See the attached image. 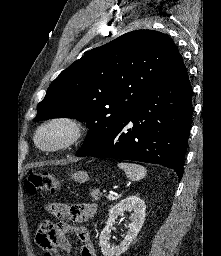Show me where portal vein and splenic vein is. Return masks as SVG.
Wrapping results in <instances>:
<instances>
[{
	"instance_id": "18ae733b",
	"label": "portal vein and splenic vein",
	"mask_w": 221,
	"mask_h": 256,
	"mask_svg": "<svg viewBox=\"0 0 221 256\" xmlns=\"http://www.w3.org/2000/svg\"><path fill=\"white\" fill-rule=\"evenodd\" d=\"M113 198H114V197H113L112 194H108V195H107V199H108V200H113Z\"/></svg>"
}]
</instances>
